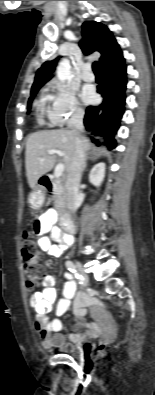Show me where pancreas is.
Here are the masks:
<instances>
[{
    "label": "pancreas",
    "instance_id": "obj_1",
    "mask_svg": "<svg viewBox=\"0 0 155 395\" xmlns=\"http://www.w3.org/2000/svg\"><path fill=\"white\" fill-rule=\"evenodd\" d=\"M53 196L52 199L54 200V205L58 209L65 208V190L64 186L60 180L54 179L53 180Z\"/></svg>",
    "mask_w": 155,
    "mask_h": 395
}]
</instances>
